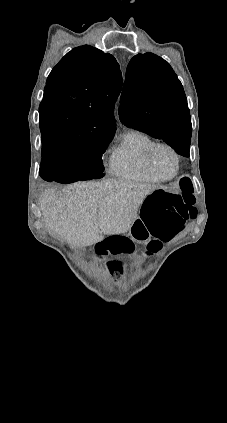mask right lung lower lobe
Segmentation results:
<instances>
[{"label": "right lung lower lobe", "instance_id": "98d812e1", "mask_svg": "<svg viewBox=\"0 0 227 423\" xmlns=\"http://www.w3.org/2000/svg\"><path fill=\"white\" fill-rule=\"evenodd\" d=\"M70 173V169L66 166L55 164L52 161L41 162L39 174L48 182L55 181L64 184L76 182Z\"/></svg>", "mask_w": 227, "mask_h": 423}]
</instances>
